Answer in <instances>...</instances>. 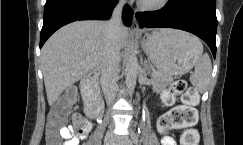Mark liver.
Masks as SVG:
<instances>
[{"instance_id":"obj_1","label":"liver","mask_w":243,"mask_h":145,"mask_svg":"<svg viewBox=\"0 0 243 145\" xmlns=\"http://www.w3.org/2000/svg\"><path fill=\"white\" fill-rule=\"evenodd\" d=\"M129 31L121 26L120 48L126 46ZM106 42V22L77 21L54 33L41 51V68L47 100L53 106L69 86L101 63Z\"/></svg>"}]
</instances>
